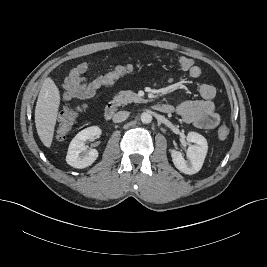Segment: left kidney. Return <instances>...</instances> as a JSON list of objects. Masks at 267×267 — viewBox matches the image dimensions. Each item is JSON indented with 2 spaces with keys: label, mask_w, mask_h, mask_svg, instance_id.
I'll return each mask as SVG.
<instances>
[{
  "label": "left kidney",
  "mask_w": 267,
  "mask_h": 267,
  "mask_svg": "<svg viewBox=\"0 0 267 267\" xmlns=\"http://www.w3.org/2000/svg\"><path fill=\"white\" fill-rule=\"evenodd\" d=\"M187 141L193 143L186 151L187 160L182 153L171 150V157L175 167L182 173L192 175L200 171L208 150L207 140L199 133L189 132Z\"/></svg>",
  "instance_id": "5707ae66"
}]
</instances>
